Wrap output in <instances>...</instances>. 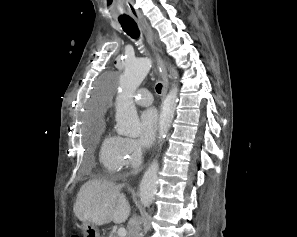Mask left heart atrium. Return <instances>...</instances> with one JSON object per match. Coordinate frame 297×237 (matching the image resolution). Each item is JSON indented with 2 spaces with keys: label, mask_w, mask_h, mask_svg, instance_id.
<instances>
[{
  "label": "left heart atrium",
  "mask_w": 297,
  "mask_h": 237,
  "mask_svg": "<svg viewBox=\"0 0 297 237\" xmlns=\"http://www.w3.org/2000/svg\"><path fill=\"white\" fill-rule=\"evenodd\" d=\"M140 141L144 146H150L156 139L159 129L158 112L154 108L144 110L140 115Z\"/></svg>",
  "instance_id": "left-heart-atrium-1"
}]
</instances>
